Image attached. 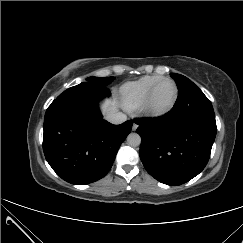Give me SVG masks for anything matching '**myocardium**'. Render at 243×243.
I'll list each match as a JSON object with an SVG mask.
<instances>
[{"label": "myocardium", "mask_w": 243, "mask_h": 243, "mask_svg": "<svg viewBox=\"0 0 243 243\" xmlns=\"http://www.w3.org/2000/svg\"><path fill=\"white\" fill-rule=\"evenodd\" d=\"M166 82H171L174 87H175V94H174V98L171 101V103L166 106L165 108L162 109H156L153 107L152 101H153V97L155 92L157 91V89L164 83ZM179 97V88L177 86V83L171 79V78H163L162 80L158 81L150 90V92L148 93L143 105H142V110L143 112L152 118H160L163 117L165 115H167L176 105L177 100Z\"/></svg>", "instance_id": "myocardium-1"}]
</instances>
